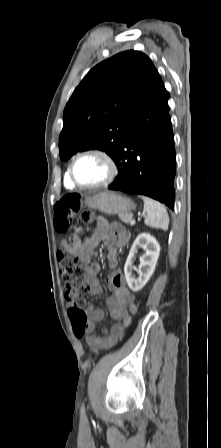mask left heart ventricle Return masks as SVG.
<instances>
[{
	"label": "left heart ventricle",
	"instance_id": "b2bd125f",
	"mask_svg": "<svg viewBox=\"0 0 221 448\" xmlns=\"http://www.w3.org/2000/svg\"><path fill=\"white\" fill-rule=\"evenodd\" d=\"M74 173L83 184H97L108 177L109 169L101 157L87 155L77 161Z\"/></svg>",
	"mask_w": 221,
	"mask_h": 448
}]
</instances>
